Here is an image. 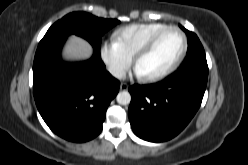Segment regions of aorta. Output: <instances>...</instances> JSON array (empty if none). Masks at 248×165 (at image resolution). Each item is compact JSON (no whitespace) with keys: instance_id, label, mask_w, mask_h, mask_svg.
Returning a JSON list of instances; mask_svg holds the SVG:
<instances>
[{"instance_id":"1","label":"aorta","mask_w":248,"mask_h":165,"mask_svg":"<svg viewBox=\"0 0 248 165\" xmlns=\"http://www.w3.org/2000/svg\"><path fill=\"white\" fill-rule=\"evenodd\" d=\"M116 100L120 105H128L131 101V95L128 91H121L118 93Z\"/></svg>"}]
</instances>
